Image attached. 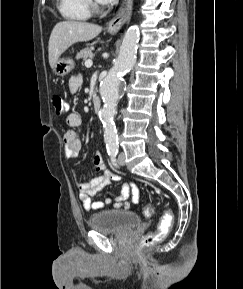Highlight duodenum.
<instances>
[{
	"label": "duodenum",
	"instance_id": "410a0bca",
	"mask_svg": "<svg viewBox=\"0 0 243 289\" xmlns=\"http://www.w3.org/2000/svg\"><path fill=\"white\" fill-rule=\"evenodd\" d=\"M92 105L94 112L98 113L101 110V100L98 96H94Z\"/></svg>",
	"mask_w": 243,
	"mask_h": 289
}]
</instances>
